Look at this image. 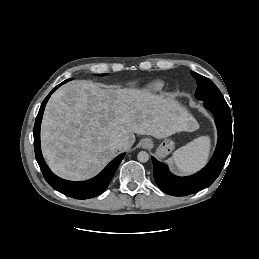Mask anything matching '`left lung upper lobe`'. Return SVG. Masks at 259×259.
I'll return each mask as SVG.
<instances>
[{
  "label": "left lung upper lobe",
  "mask_w": 259,
  "mask_h": 259,
  "mask_svg": "<svg viewBox=\"0 0 259 259\" xmlns=\"http://www.w3.org/2000/svg\"><path fill=\"white\" fill-rule=\"evenodd\" d=\"M191 74L196 79L198 85L195 93L197 99L202 101H225L220 90L210 79L193 71Z\"/></svg>",
  "instance_id": "1"
}]
</instances>
